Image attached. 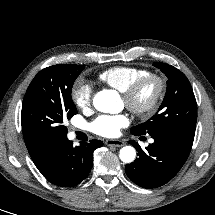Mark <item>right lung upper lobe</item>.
<instances>
[{
  "instance_id": "obj_1",
  "label": "right lung upper lobe",
  "mask_w": 215,
  "mask_h": 215,
  "mask_svg": "<svg viewBox=\"0 0 215 215\" xmlns=\"http://www.w3.org/2000/svg\"><path fill=\"white\" fill-rule=\"evenodd\" d=\"M25 144H26L28 152L37 168H40L45 164L48 155L56 147V145L37 146L26 140H25Z\"/></svg>"
}]
</instances>
